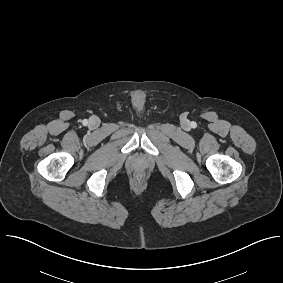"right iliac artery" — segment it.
Instances as JSON below:
<instances>
[{"label": "right iliac artery", "instance_id": "82829eb1", "mask_svg": "<svg viewBox=\"0 0 283 283\" xmlns=\"http://www.w3.org/2000/svg\"><path fill=\"white\" fill-rule=\"evenodd\" d=\"M88 121L86 119L83 120V125H87Z\"/></svg>", "mask_w": 283, "mask_h": 283}]
</instances>
